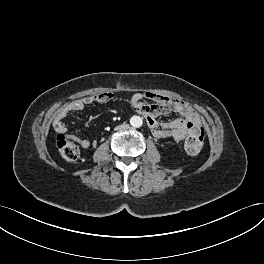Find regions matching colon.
I'll use <instances>...</instances> for the list:
<instances>
[{
  "instance_id": "obj_1",
  "label": "colon",
  "mask_w": 264,
  "mask_h": 264,
  "mask_svg": "<svg viewBox=\"0 0 264 264\" xmlns=\"http://www.w3.org/2000/svg\"><path fill=\"white\" fill-rule=\"evenodd\" d=\"M204 141V130L200 124H192L189 135L185 140V150L190 155L198 154ZM56 145L61 156L68 161H75L79 157V149L69 138L59 133L56 137Z\"/></svg>"
}]
</instances>
